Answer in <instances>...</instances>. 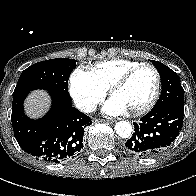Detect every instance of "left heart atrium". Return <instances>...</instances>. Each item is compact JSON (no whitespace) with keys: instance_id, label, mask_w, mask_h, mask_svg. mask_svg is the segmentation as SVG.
Returning a JSON list of instances; mask_svg holds the SVG:
<instances>
[{"instance_id":"left-heart-atrium-1","label":"left heart atrium","mask_w":196,"mask_h":196,"mask_svg":"<svg viewBox=\"0 0 196 196\" xmlns=\"http://www.w3.org/2000/svg\"><path fill=\"white\" fill-rule=\"evenodd\" d=\"M103 111L108 115H122L125 114L128 109L126 106L112 97L105 103Z\"/></svg>"}]
</instances>
